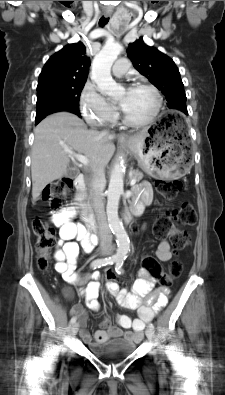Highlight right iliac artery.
I'll use <instances>...</instances> for the list:
<instances>
[{
    "mask_svg": "<svg viewBox=\"0 0 225 395\" xmlns=\"http://www.w3.org/2000/svg\"><path fill=\"white\" fill-rule=\"evenodd\" d=\"M119 259L118 256L113 255L111 257H106L103 259H96L91 263V268L92 269H96V268H100L102 266H106V265H112L114 264L117 260ZM76 322V317H72L70 320L71 324H74Z\"/></svg>",
    "mask_w": 225,
    "mask_h": 395,
    "instance_id": "82829eb1",
    "label": "right iliac artery"
}]
</instances>
